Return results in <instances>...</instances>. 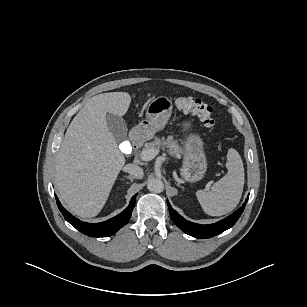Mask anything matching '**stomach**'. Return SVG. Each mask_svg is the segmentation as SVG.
Segmentation results:
<instances>
[{"mask_svg": "<svg viewBox=\"0 0 307 307\" xmlns=\"http://www.w3.org/2000/svg\"><path fill=\"white\" fill-rule=\"evenodd\" d=\"M172 113V102L165 96L152 100L147 106L146 119L142 120L136 127L138 138L150 140L155 133L163 129ZM185 130L189 123L184 125ZM207 169L206 156L203 150V141L198 134H189L184 143V162L182 175L189 182L201 180Z\"/></svg>", "mask_w": 307, "mask_h": 307, "instance_id": "obj_1", "label": "stomach"}]
</instances>
